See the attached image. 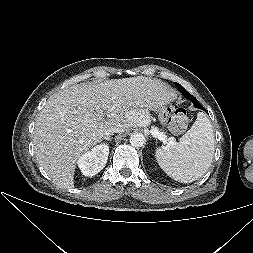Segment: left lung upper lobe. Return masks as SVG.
Wrapping results in <instances>:
<instances>
[{
    "instance_id": "obj_1",
    "label": "left lung upper lobe",
    "mask_w": 253,
    "mask_h": 253,
    "mask_svg": "<svg viewBox=\"0 0 253 253\" xmlns=\"http://www.w3.org/2000/svg\"><path fill=\"white\" fill-rule=\"evenodd\" d=\"M175 85L177 86V88L182 92V94H183L186 98H188V99L191 100L192 95H191L190 93H188L180 84L175 83Z\"/></svg>"
}]
</instances>
